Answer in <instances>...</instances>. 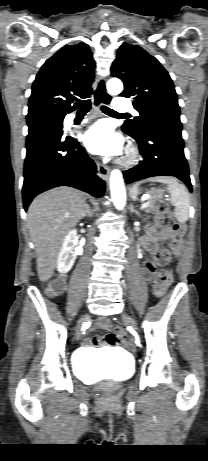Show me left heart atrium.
Segmentation results:
<instances>
[{
  "label": "left heart atrium",
  "instance_id": "left-heart-atrium-1",
  "mask_svg": "<svg viewBox=\"0 0 208 461\" xmlns=\"http://www.w3.org/2000/svg\"><path fill=\"white\" fill-rule=\"evenodd\" d=\"M84 143L94 154L112 156L121 152L123 140L110 124L98 122L85 133Z\"/></svg>",
  "mask_w": 208,
  "mask_h": 461
}]
</instances>
